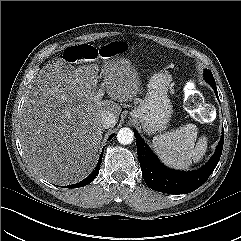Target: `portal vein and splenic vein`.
<instances>
[{"mask_svg": "<svg viewBox=\"0 0 241 241\" xmlns=\"http://www.w3.org/2000/svg\"><path fill=\"white\" fill-rule=\"evenodd\" d=\"M104 94V86L103 84L101 85L100 89L98 90L97 96L101 98Z\"/></svg>", "mask_w": 241, "mask_h": 241, "instance_id": "obj_1", "label": "portal vein and splenic vein"}]
</instances>
